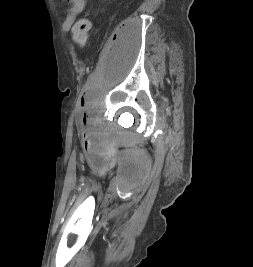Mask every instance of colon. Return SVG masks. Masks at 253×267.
Returning a JSON list of instances; mask_svg holds the SVG:
<instances>
[{
    "instance_id": "5ec220e1",
    "label": "colon",
    "mask_w": 253,
    "mask_h": 267,
    "mask_svg": "<svg viewBox=\"0 0 253 267\" xmlns=\"http://www.w3.org/2000/svg\"><path fill=\"white\" fill-rule=\"evenodd\" d=\"M91 23L88 19H79L72 27L73 41L80 47H84L89 39Z\"/></svg>"
}]
</instances>
